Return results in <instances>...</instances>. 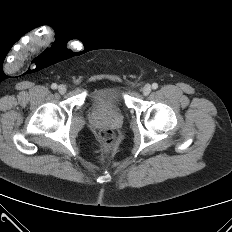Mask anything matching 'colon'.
<instances>
[{"instance_id":"colon-1","label":"colon","mask_w":232,"mask_h":232,"mask_svg":"<svg viewBox=\"0 0 232 232\" xmlns=\"http://www.w3.org/2000/svg\"><path fill=\"white\" fill-rule=\"evenodd\" d=\"M99 138L103 146L106 148L107 151L113 150L115 146V134L114 132L109 128H102L99 131Z\"/></svg>"}]
</instances>
